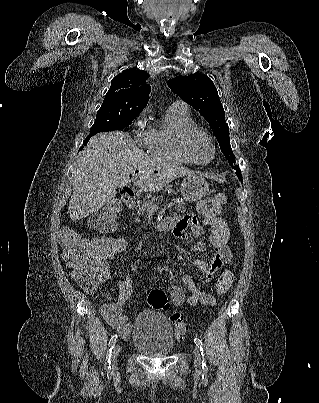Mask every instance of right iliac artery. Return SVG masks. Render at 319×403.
<instances>
[{"label":"right iliac artery","mask_w":319,"mask_h":403,"mask_svg":"<svg viewBox=\"0 0 319 403\" xmlns=\"http://www.w3.org/2000/svg\"><path fill=\"white\" fill-rule=\"evenodd\" d=\"M118 335L114 334L108 344V351H107V355H106V362H105V368L110 371L111 370V356H112V350L116 344Z\"/></svg>","instance_id":"1"}]
</instances>
